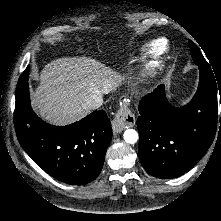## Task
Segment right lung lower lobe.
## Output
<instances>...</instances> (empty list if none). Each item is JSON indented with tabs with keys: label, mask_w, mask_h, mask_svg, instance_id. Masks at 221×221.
<instances>
[{
	"label": "right lung lower lobe",
	"mask_w": 221,
	"mask_h": 221,
	"mask_svg": "<svg viewBox=\"0 0 221 221\" xmlns=\"http://www.w3.org/2000/svg\"><path fill=\"white\" fill-rule=\"evenodd\" d=\"M29 66L16 88L14 124L17 138L31 159L49 175L71 185L87 184L99 175L112 138L104 110L80 121L56 127L33 112L28 88Z\"/></svg>",
	"instance_id": "obj_1"
}]
</instances>
